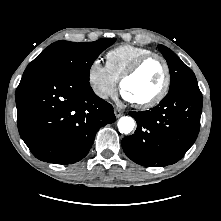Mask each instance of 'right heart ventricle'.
I'll list each match as a JSON object with an SVG mask.
<instances>
[{"instance_id":"right-heart-ventricle-1","label":"right heart ventricle","mask_w":221,"mask_h":221,"mask_svg":"<svg viewBox=\"0 0 221 221\" xmlns=\"http://www.w3.org/2000/svg\"><path fill=\"white\" fill-rule=\"evenodd\" d=\"M148 53H151V50L145 47L122 44L106 53V67L112 77L119 80L137 59Z\"/></svg>"}]
</instances>
